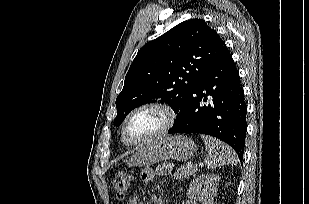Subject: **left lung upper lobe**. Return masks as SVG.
Wrapping results in <instances>:
<instances>
[{
    "instance_id": "5c2ea615",
    "label": "left lung upper lobe",
    "mask_w": 309,
    "mask_h": 204,
    "mask_svg": "<svg viewBox=\"0 0 309 204\" xmlns=\"http://www.w3.org/2000/svg\"><path fill=\"white\" fill-rule=\"evenodd\" d=\"M226 49L202 19L184 21L147 43L133 60L116 99L114 125L119 126L136 107L157 101L167 103L177 114Z\"/></svg>"
}]
</instances>
